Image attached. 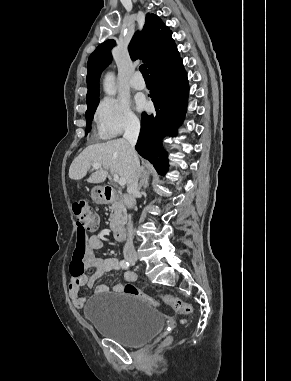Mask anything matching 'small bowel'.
<instances>
[{
	"mask_svg": "<svg viewBox=\"0 0 291 381\" xmlns=\"http://www.w3.org/2000/svg\"><path fill=\"white\" fill-rule=\"evenodd\" d=\"M104 248V242L101 237L93 235L87 240V248L83 258V263L86 268L92 270L90 276L79 275L73 276L68 284V294L75 308L80 309L84 306L86 297L83 294L82 288L84 286H93L101 276L106 272L119 271L120 263L117 258H97L94 254L95 250ZM137 279V275L134 272L128 271L124 274V280L127 282H134ZM115 292L123 291V284L118 283L113 287ZM108 291V287L104 284H100L96 287L97 293H104Z\"/></svg>",
	"mask_w": 291,
	"mask_h": 381,
	"instance_id": "1",
	"label": "small bowel"
}]
</instances>
